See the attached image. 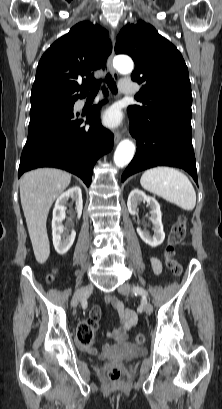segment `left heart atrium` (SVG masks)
Masks as SVG:
<instances>
[{"label": "left heart atrium", "instance_id": "1", "mask_svg": "<svg viewBox=\"0 0 222 409\" xmlns=\"http://www.w3.org/2000/svg\"><path fill=\"white\" fill-rule=\"evenodd\" d=\"M103 124L109 128H115L120 125V116L115 108H110L104 112L101 117Z\"/></svg>", "mask_w": 222, "mask_h": 409}]
</instances>
